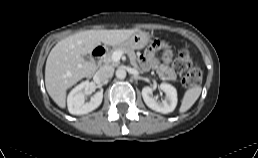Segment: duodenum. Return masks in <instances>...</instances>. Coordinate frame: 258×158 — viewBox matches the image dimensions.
<instances>
[{
  "label": "duodenum",
  "mask_w": 258,
  "mask_h": 158,
  "mask_svg": "<svg viewBox=\"0 0 258 158\" xmlns=\"http://www.w3.org/2000/svg\"><path fill=\"white\" fill-rule=\"evenodd\" d=\"M105 53L106 48L104 46H96L90 54V61L95 65L98 64L102 57L105 55Z\"/></svg>",
  "instance_id": "duodenum-1"
}]
</instances>
